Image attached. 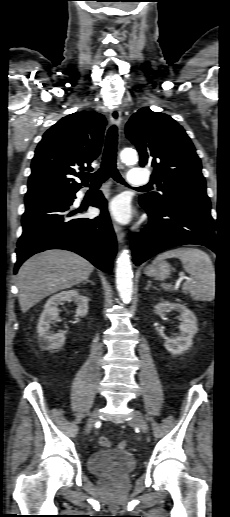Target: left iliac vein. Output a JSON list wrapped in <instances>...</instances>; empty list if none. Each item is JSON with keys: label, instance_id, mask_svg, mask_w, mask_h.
<instances>
[{"label": "left iliac vein", "instance_id": "4c4485c4", "mask_svg": "<svg viewBox=\"0 0 230 517\" xmlns=\"http://www.w3.org/2000/svg\"><path fill=\"white\" fill-rule=\"evenodd\" d=\"M131 422H133L143 433L148 432V425L143 414L138 410H133L131 414Z\"/></svg>", "mask_w": 230, "mask_h": 517}]
</instances>
